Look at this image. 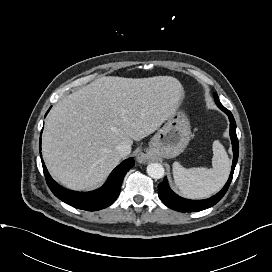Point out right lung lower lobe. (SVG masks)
Listing matches in <instances>:
<instances>
[{"label":"right lung lower lobe","instance_id":"1","mask_svg":"<svg viewBox=\"0 0 272 272\" xmlns=\"http://www.w3.org/2000/svg\"><path fill=\"white\" fill-rule=\"evenodd\" d=\"M39 148L41 150V138ZM134 164L133 158L124 160L112 171L106 183L101 188L92 192L83 193L67 190L58 185L48 173L44 161L42 160L46 182L52 193L66 204L87 211H97L110 206L120 193L125 174Z\"/></svg>","mask_w":272,"mask_h":272}]
</instances>
